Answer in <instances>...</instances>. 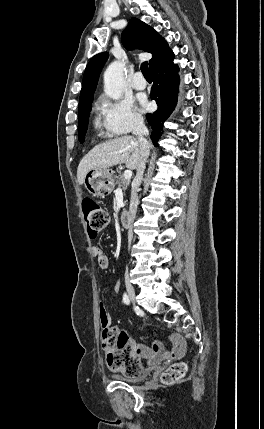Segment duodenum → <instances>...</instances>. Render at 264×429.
Listing matches in <instances>:
<instances>
[{
	"label": "duodenum",
	"instance_id": "410a0bca",
	"mask_svg": "<svg viewBox=\"0 0 264 429\" xmlns=\"http://www.w3.org/2000/svg\"><path fill=\"white\" fill-rule=\"evenodd\" d=\"M130 214L131 213L129 211H122L120 213V215H119V221H120V224L123 227H128L129 224L131 223V221L129 220L130 219Z\"/></svg>",
	"mask_w": 264,
	"mask_h": 429
}]
</instances>
